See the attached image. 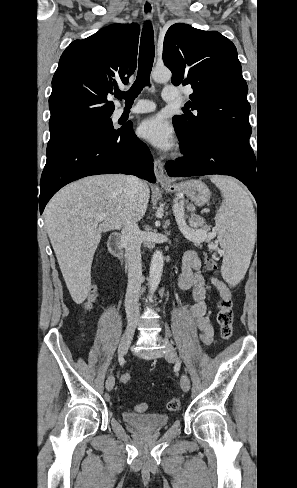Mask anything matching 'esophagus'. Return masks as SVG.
Wrapping results in <instances>:
<instances>
[{
	"label": "esophagus",
	"mask_w": 297,
	"mask_h": 488,
	"mask_svg": "<svg viewBox=\"0 0 297 488\" xmlns=\"http://www.w3.org/2000/svg\"><path fill=\"white\" fill-rule=\"evenodd\" d=\"M154 7L152 2L146 1L142 6V14L145 20H150L153 16ZM154 173L159 183L168 182V177L164 172L163 163L159 159L154 160Z\"/></svg>",
	"instance_id": "obj_1"
}]
</instances>
